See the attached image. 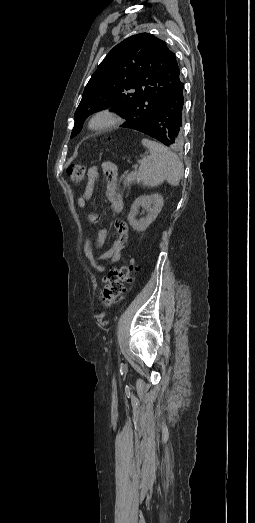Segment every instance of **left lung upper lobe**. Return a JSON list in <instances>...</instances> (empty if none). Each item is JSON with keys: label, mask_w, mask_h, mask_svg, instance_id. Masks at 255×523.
Wrapping results in <instances>:
<instances>
[{"label": "left lung upper lobe", "mask_w": 255, "mask_h": 523, "mask_svg": "<svg viewBox=\"0 0 255 523\" xmlns=\"http://www.w3.org/2000/svg\"><path fill=\"white\" fill-rule=\"evenodd\" d=\"M177 85H183L180 69L166 43L149 33L133 35L108 53L87 83L74 114L71 138L89 115L106 107L127 115L122 127L143 125L169 101L168 93Z\"/></svg>", "instance_id": "5c2ea615"}]
</instances>
